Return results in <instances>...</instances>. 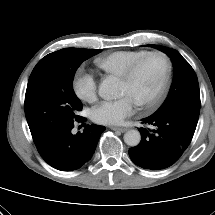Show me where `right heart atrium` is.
<instances>
[{"label": "right heart atrium", "mask_w": 215, "mask_h": 215, "mask_svg": "<svg viewBox=\"0 0 215 215\" xmlns=\"http://www.w3.org/2000/svg\"><path fill=\"white\" fill-rule=\"evenodd\" d=\"M73 88L76 95L83 101L93 102L97 96V83L93 75L80 70L73 80Z\"/></svg>", "instance_id": "d8ad5b80"}]
</instances>
